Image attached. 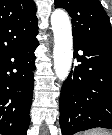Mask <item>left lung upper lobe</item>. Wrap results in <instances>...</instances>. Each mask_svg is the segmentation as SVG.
Instances as JSON below:
<instances>
[{
  "mask_svg": "<svg viewBox=\"0 0 112 135\" xmlns=\"http://www.w3.org/2000/svg\"><path fill=\"white\" fill-rule=\"evenodd\" d=\"M70 15L74 40L112 46L109 17L98 0H55Z\"/></svg>",
  "mask_w": 112,
  "mask_h": 135,
  "instance_id": "1",
  "label": "left lung upper lobe"
}]
</instances>
